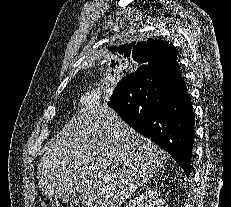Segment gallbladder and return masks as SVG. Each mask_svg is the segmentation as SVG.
Instances as JSON below:
<instances>
[{"instance_id": "obj_1", "label": "gallbladder", "mask_w": 231, "mask_h": 207, "mask_svg": "<svg viewBox=\"0 0 231 207\" xmlns=\"http://www.w3.org/2000/svg\"><path fill=\"white\" fill-rule=\"evenodd\" d=\"M63 199L65 200L66 203H70L71 205L80 206L86 204V200L81 195L75 192L63 196Z\"/></svg>"}]
</instances>
